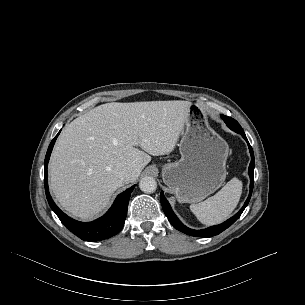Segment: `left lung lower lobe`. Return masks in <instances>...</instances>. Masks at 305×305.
<instances>
[{
  "instance_id": "obj_1",
  "label": "left lung lower lobe",
  "mask_w": 305,
  "mask_h": 305,
  "mask_svg": "<svg viewBox=\"0 0 305 305\" xmlns=\"http://www.w3.org/2000/svg\"><path fill=\"white\" fill-rule=\"evenodd\" d=\"M243 138L246 140V142L248 143V147H249V151L251 154V162L249 165V169H248V173L250 176V193L248 198L246 199L243 207L239 210L238 213H236L233 217H231L230 219H228L227 221L219 224V225H215L203 230H193L190 229L188 227H186L185 225H183L179 219L176 217V215L174 214V212L172 211L170 204L168 203V201L166 200V198L164 197L163 192H161L160 194V199H161V204H162V208L168 218V220L170 221V223L179 231L191 235V236H195V237H212L215 235H218L219 233H221L222 231H224L225 229H227L229 226H231L242 214V212L244 211V209L246 208V206L248 205L250 198H251V194H252V190H253V184H254V164H255V160H254V154H253V149L251 147V145L249 144L246 135L244 132L240 133Z\"/></svg>"
}]
</instances>
